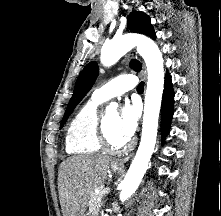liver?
<instances>
[{
    "instance_id": "liver-1",
    "label": "liver",
    "mask_w": 221,
    "mask_h": 216,
    "mask_svg": "<svg viewBox=\"0 0 221 216\" xmlns=\"http://www.w3.org/2000/svg\"><path fill=\"white\" fill-rule=\"evenodd\" d=\"M111 158L77 155L63 161L58 175V192L63 216H84L94 189L104 183Z\"/></svg>"
}]
</instances>
